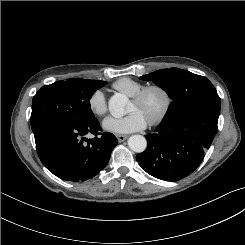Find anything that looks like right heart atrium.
Instances as JSON below:
<instances>
[{
    "mask_svg": "<svg viewBox=\"0 0 245 245\" xmlns=\"http://www.w3.org/2000/svg\"><path fill=\"white\" fill-rule=\"evenodd\" d=\"M88 106L90 111L96 116H103L107 112V101L102 90L94 91L89 99Z\"/></svg>",
    "mask_w": 245,
    "mask_h": 245,
    "instance_id": "1",
    "label": "right heart atrium"
}]
</instances>
